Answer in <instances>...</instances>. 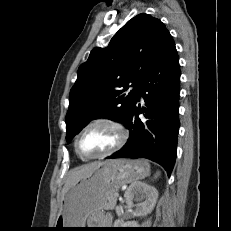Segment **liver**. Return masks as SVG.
Segmentation results:
<instances>
[{
	"instance_id": "obj_1",
	"label": "liver",
	"mask_w": 231,
	"mask_h": 231,
	"mask_svg": "<svg viewBox=\"0 0 231 231\" xmlns=\"http://www.w3.org/2000/svg\"><path fill=\"white\" fill-rule=\"evenodd\" d=\"M104 163L105 162H93L73 169L69 173L65 185L62 189L61 201L63 200L65 194L71 186L76 184L79 180L90 176L97 168L101 167Z\"/></svg>"
}]
</instances>
